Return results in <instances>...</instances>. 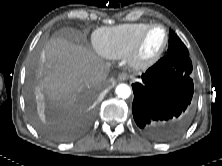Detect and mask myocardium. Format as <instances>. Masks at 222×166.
Segmentation results:
<instances>
[{"label": "myocardium", "instance_id": "obj_1", "mask_svg": "<svg viewBox=\"0 0 222 166\" xmlns=\"http://www.w3.org/2000/svg\"><path fill=\"white\" fill-rule=\"evenodd\" d=\"M160 28L164 32V41L162 46L159 48V50L153 54L150 57H142L141 56V47L143 45V42L148 35V33L155 29ZM169 42V33L165 26L162 24L154 23L148 25L137 37L136 41L134 42L133 46L131 47L130 51L127 54V60L129 65L136 70H144L147 69L154 64H156L160 58L162 57L163 53L165 52Z\"/></svg>", "mask_w": 222, "mask_h": 166}]
</instances>
